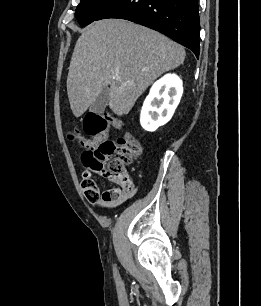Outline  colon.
<instances>
[{
	"label": "colon",
	"mask_w": 261,
	"mask_h": 306,
	"mask_svg": "<svg viewBox=\"0 0 261 306\" xmlns=\"http://www.w3.org/2000/svg\"><path fill=\"white\" fill-rule=\"evenodd\" d=\"M111 126L120 127L121 123L107 113H89L84 118L83 129L90 138H84L76 132L69 134V138L77 140L85 149L82 161L86 170L83 172L82 188L90 203L100 199L111 202L118 193V189H112L101 196L91 173L117 183L123 189L132 186L128 166L140 155V143L129 133L116 141L108 140L107 132Z\"/></svg>",
	"instance_id": "colon-1"
}]
</instances>
